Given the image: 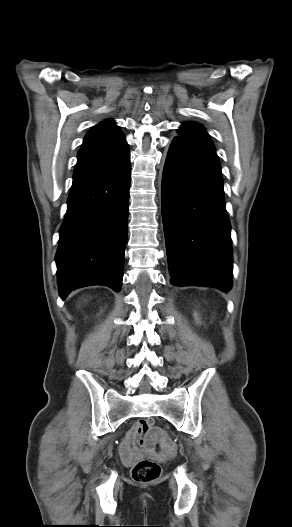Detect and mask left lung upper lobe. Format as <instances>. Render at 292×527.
<instances>
[{"mask_svg":"<svg viewBox=\"0 0 292 527\" xmlns=\"http://www.w3.org/2000/svg\"><path fill=\"white\" fill-rule=\"evenodd\" d=\"M179 136L174 141H186L214 150V145L203 126L197 123L185 122L178 129Z\"/></svg>","mask_w":292,"mask_h":527,"instance_id":"left-lung-upper-lobe-1","label":"left lung upper lobe"}]
</instances>
